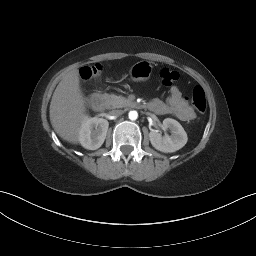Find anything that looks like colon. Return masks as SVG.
Returning <instances> with one entry per match:
<instances>
[{
  "mask_svg": "<svg viewBox=\"0 0 256 256\" xmlns=\"http://www.w3.org/2000/svg\"><path fill=\"white\" fill-rule=\"evenodd\" d=\"M102 72V66L100 64H94L85 66L80 70V77L83 80H90L93 77L99 76ZM160 82L165 86H170L179 79L177 71L164 67L159 72ZM193 107L199 113H205L207 109L206 96L203 88L199 85L195 86L192 91V95L189 98Z\"/></svg>",
  "mask_w": 256,
  "mask_h": 256,
  "instance_id": "1",
  "label": "colon"
}]
</instances>
